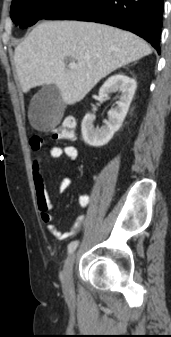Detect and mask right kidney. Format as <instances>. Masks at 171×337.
<instances>
[{
	"mask_svg": "<svg viewBox=\"0 0 171 337\" xmlns=\"http://www.w3.org/2000/svg\"><path fill=\"white\" fill-rule=\"evenodd\" d=\"M136 81L124 74H116L107 79L99 90L98 100L103 102L111 93H121L117 106L108 112L104 126L94 128L95 115L86 114L81 125L84 141L93 147L106 145L114 133L122 126L124 118L136 91Z\"/></svg>",
	"mask_w": 171,
	"mask_h": 337,
	"instance_id": "obj_1",
	"label": "right kidney"
}]
</instances>
